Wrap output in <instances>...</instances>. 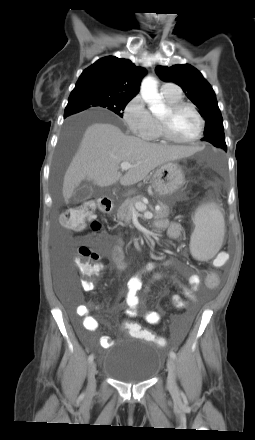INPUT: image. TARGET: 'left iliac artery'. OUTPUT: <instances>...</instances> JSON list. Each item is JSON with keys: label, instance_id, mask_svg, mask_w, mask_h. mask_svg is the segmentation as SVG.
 <instances>
[{"label": "left iliac artery", "instance_id": "left-iliac-artery-1", "mask_svg": "<svg viewBox=\"0 0 255 440\" xmlns=\"http://www.w3.org/2000/svg\"><path fill=\"white\" fill-rule=\"evenodd\" d=\"M170 357L173 358V359H176V354H175V352L171 351V352H170Z\"/></svg>", "mask_w": 255, "mask_h": 440}]
</instances>
